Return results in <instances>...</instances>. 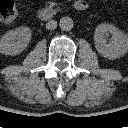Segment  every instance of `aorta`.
<instances>
[{
    "label": "aorta",
    "instance_id": "obj_1",
    "mask_svg": "<svg viewBox=\"0 0 128 128\" xmlns=\"http://www.w3.org/2000/svg\"><path fill=\"white\" fill-rule=\"evenodd\" d=\"M59 26L63 31H70L73 26V20L70 17H62L59 22Z\"/></svg>",
    "mask_w": 128,
    "mask_h": 128
}]
</instances>
